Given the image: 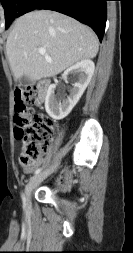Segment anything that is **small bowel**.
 Returning a JSON list of instances; mask_svg holds the SVG:
<instances>
[{"label": "small bowel", "mask_w": 133, "mask_h": 253, "mask_svg": "<svg viewBox=\"0 0 133 253\" xmlns=\"http://www.w3.org/2000/svg\"><path fill=\"white\" fill-rule=\"evenodd\" d=\"M41 163H42V159H39V160L37 161V163L34 164L33 166H30V167H28V168H25L26 172H27V173L32 172V171H33L35 168H37ZM68 179H69V174H68L67 172H63V173L60 175V178H59V180H60L61 182H66Z\"/></svg>", "instance_id": "obj_1"}]
</instances>
